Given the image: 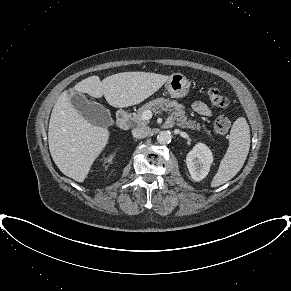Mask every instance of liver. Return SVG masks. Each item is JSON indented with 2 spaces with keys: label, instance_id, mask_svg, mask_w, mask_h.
<instances>
[{
  "label": "liver",
  "instance_id": "6515ba94",
  "mask_svg": "<svg viewBox=\"0 0 291 291\" xmlns=\"http://www.w3.org/2000/svg\"><path fill=\"white\" fill-rule=\"evenodd\" d=\"M169 76L149 72H122L104 78L90 76L74 86L79 93L105 97L113 107L139 104L158 91ZM108 129L92 125L72 106L68 91L57 99L49 122L48 143L60 171L83 182L108 143Z\"/></svg>",
  "mask_w": 291,
  "mask_h": 291
}]
</instances>
